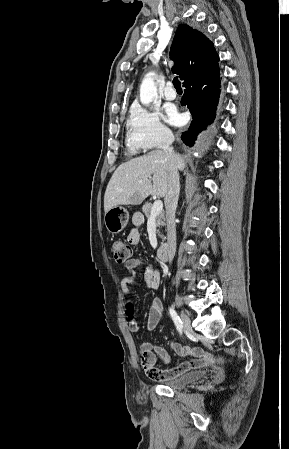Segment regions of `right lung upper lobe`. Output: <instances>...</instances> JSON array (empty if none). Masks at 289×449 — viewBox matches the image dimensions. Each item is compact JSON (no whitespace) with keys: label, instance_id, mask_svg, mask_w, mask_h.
Here are the masks:
<instances>
[{"label":"right lung upper lobe","instance_id":"cb5924a9","mask_svg":"<svg viewBox=\"0 0 289 449\" xmlns=\"http://www.w3.org/2000/svg\"><path fill=\"white\" fill-rule=\"evenodd\" d=\"M170 58L175 62L172 72L180 75L183 85L205 76L219 61L213 43L203 33L185 24L178 26Z\"/></svg>","mask_w":289,"mask_h":449}]
</instances>
